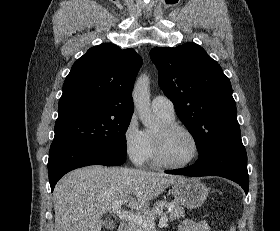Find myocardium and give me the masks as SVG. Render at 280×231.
Wrapping results in <instances>:
<instances>
[{"label":"myocardium","instance_id":"obj_1","mask_svg":"<svg viewBox=\"0 0 280 231\" xmlns=\"http://www.w3.org/2000/svg\"><path fill=\"white\" fill-rule=\"evenodd\" d=\"M163 129L166 132H172V131H183L186 132L188 135H190L195 143V154L192 159H190L187 162L183 163H175L170 161L164 154L163 146L161 143V138L158 136H154V145H155V160L156 162L164 167L168 168H185L193 165L200 157L201 155V142L197 136V134L189 127L179 124L176 122H165L163 124Z\"/></svg>","mask_w":280,"mask_h":231}]
</instances>
